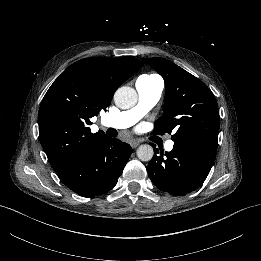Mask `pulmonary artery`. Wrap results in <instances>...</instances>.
<instances>
[{
  "instance_id": "1",
  "label": "pulmonary artery",
  "mask_w": 261,
  "mask_h": 261,
  "mask_svg": "<svg viewBox=\"0 0 261 261\" xmlns=\"http://www.w3.org/2000/svg\"><path fill=\"white\" fill-rule=\"evenodd\" d=\"M136 89L138 93L137 105L130 110L106 116L102 121L104 126L126 129L135 124L158 103L164 90V83L160 80L139 82L136 83ZM162 145L165 150L170 151L175 144L172 139L168 138L163 141Z\"/></svg>"
}]
</instances>
